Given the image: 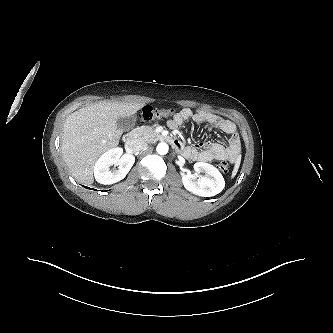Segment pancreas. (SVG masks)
Here are the masks:
<instances>
[{
    "instance_id": "obj_1",
    "label": "pancreas",
    "mask_w": 333,
    "mask_h": 333,
    "mask_svg": "<svg viewBox=\"0 0 333 333\" xmlns=\"http://www.w3.org/2000/svg\"><path fill=\"white\" fill-rule=\"evenodd\" d=\"M133 134L137 138H142L147 142H153L157 137H159V133L156 132L154 127L151 126H141L137 127L133 130Z\"/></svg>"
}]
</instances>
